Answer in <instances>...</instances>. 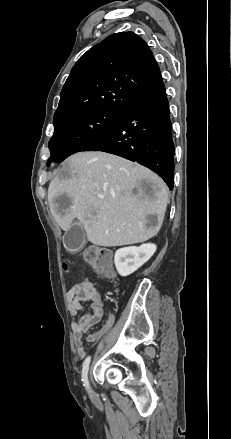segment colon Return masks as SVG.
I'll use <instances>...</instances> for the list:
<instances>
[{
	"instance_id": "colon-1",
	"label": "colon",
	"mask_w": 231,
	"mask_h": 439,
	"mask_svg": "<svg viewBox=\"0 0 231 439\" xmlns=\"http://www.w3.org/2000/svg\"><path fill=\"white\" fill-rule=\"evenodd\" d=\"M83 257L97 273L105 278L113 277L114 271L108 250L97 246H88L83 250Z\"/></svg>"
}]
</instances>
